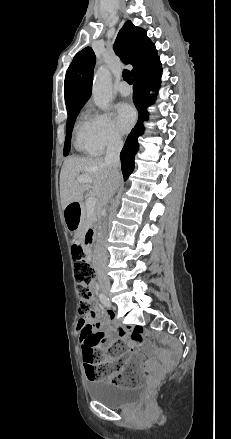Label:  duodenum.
Listing matches in <instances>:
<instances>
[{"label": "duodenum", "mask_w": 231, "mask_h": 439, "mask_svg": "<svg viewBox=\"0 0 231 439\" xmlns=\"http://www.w3.org/2000/svg\"><path fill=\"white\" fill-rule=\"evenodd\" d=\"M80 205H81L80 201L72 203L71 205H69V211L73 212L75 208H79ZM93 237H94V230L89 229L85 234L84 243L86 245H90L92 243Z\"/></svg>", "instance_id": "1"}]
</instances>
